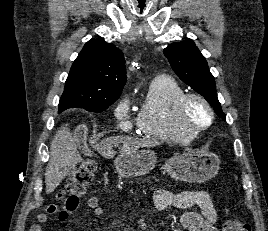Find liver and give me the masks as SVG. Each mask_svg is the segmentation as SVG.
Masks as SVG:
<instances>
[{
    "mask_svg": "<svg viewBox=\"0 0 268 231\" xmlns=\"http://www.w3.org/2000/svg\"><path fill=\"white\" fill-rule=\"evenodd\" d=\"M83 138H80L76 132L72 134L67 124L61 126L56 132L50 144V160L45 171L46 193H52L62 180L70 173L77 164L83 162L81 155L77 150L78 143L85 139L87 129L81 126ZM122 144L121 152H133L143 147H152L156 142L148 139H137L128 136H114L105 138L100 143L94 145V148L103 157H112L115 155L113 147Z\"/></svg>",
    "mask_w": 268,
    "mask_h": 231,
    "instance_id": "obj_1",
    "label": "liver"
}]
</instances>
